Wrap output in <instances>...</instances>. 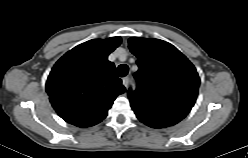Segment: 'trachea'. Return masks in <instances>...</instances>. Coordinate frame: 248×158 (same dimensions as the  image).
I'll return each instance as SVG.
<instances>
[{"instance_id":"1","label":"trachea","mask_w":248,"mask_h":158,"mask_svg":"<svg viewBox=\"0 0 248 158\" xmlns=\"http://www.w3.org/2000/svg\"><path fill=\"white\" fill-rule=\"evenodd\" d=\"M117 74L119 77H124L128 74V66L126 64H121L118 66Z\"/></svg>"}]
</instances>
